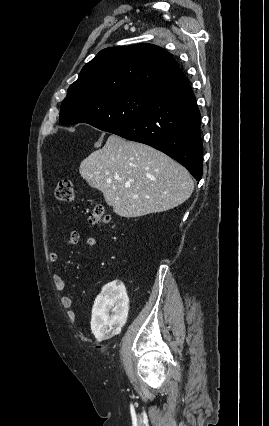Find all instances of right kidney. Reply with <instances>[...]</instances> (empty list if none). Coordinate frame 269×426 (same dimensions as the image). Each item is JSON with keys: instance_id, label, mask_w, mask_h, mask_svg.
Returning <instances> with one entry per match:
<instances>
[{"instance_id": "right-kidney-1", "label": "right kidney", "mask_w": 269, "mask_h": 426, "mask_svg": "<svg viewBox=\"0 0 269 426\" xmlns=\"http://www.w3.org/2000/svg\"><path fill=\"white\" fill-rule=\"evenodd\" d=\"M129 299L122 281H110L95 300L91 330L98 341L108 339L128 311ZM112 312L110 315L109 312Z\"/></svg>"}]
</instances>
